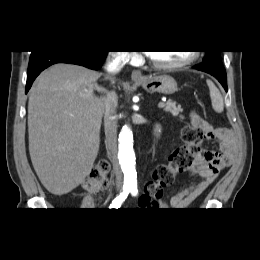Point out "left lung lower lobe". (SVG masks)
<instances>
[{"instance_id":"0a47b994","label":"left lung lower lobe","mask_w":260,"mask_h":260,"mask_svg":"<svg viewBox=\"0 0 260 260\" xmlns=\"http://www.w3.org/2000/svg\"><path fill=\"white\" fill-rule=\"evenodd\" d=\"M195 69L206 72L214 76L227 91V77L224 66L219 60H208L193 66Z\"/></svg>"}]
</instances>
